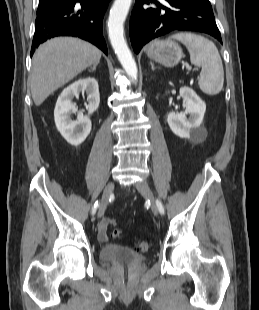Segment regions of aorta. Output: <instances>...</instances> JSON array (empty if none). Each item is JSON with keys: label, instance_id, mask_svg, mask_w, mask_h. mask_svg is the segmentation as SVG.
<instances>
[{"label": "aorta", "instance_id": "obj_1", "mask_svg": "<svg viewBox=\"0 0 259 310\" xmlns=\"http://www.w3.org/2000/svg\"><path fill=\"white\" fill-rule=\"evenodd\" d=\"M132 0H115L108 19V34L111 45L129 77L137 80V66L124 39L123 24Z\"/></svg>", "mask_w": 259, "mask_h": 310}]
</instances>
